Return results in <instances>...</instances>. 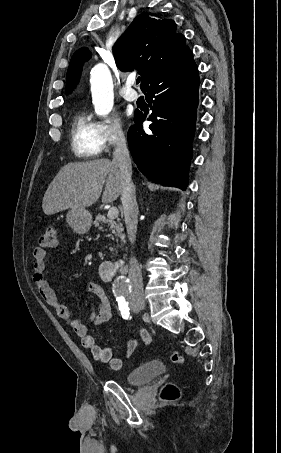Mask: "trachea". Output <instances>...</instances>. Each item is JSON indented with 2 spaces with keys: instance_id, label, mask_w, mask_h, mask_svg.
I'll return each instance as SVG.
<instances>
[{
  "instance_id": "1",
  "label": "trachea",
  "mask_w": 281,
  "mask_h": 453,
  "mask_svg": "<svg viewBox=\"0 0 281 453\" xmlns=\"http://www.w3.org/2000/svg\"><path fill=\"white\" fill-rule=\"evenodd\" d=\"M140 80H141V78L138 77L137 80H136V84H137V85H138V83H140Z\"/></svg>"
}]
</instances>
